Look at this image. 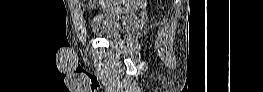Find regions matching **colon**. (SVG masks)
<instances>
[{
  "mask_svg": "<svg viewBox=\"0 0 263 92\" xmlns=\"http://www.w3.org/2000/svg\"><path fill=\"white\" fill-rule=\"evenodd\" d=\"M101 4H104V3H113V2H119V1H99Z\"/></svg>",
  "mask_w": 263,
  "mask_h": 92,
  "instance_id": "1",
  "label": "colon"
}]
</instances>
